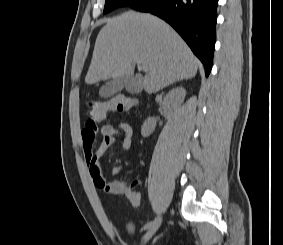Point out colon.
<instances>
[{
	"mask_svg": "<svg viewBox=\"0 0 283 245\" xmlns=\"http://www.w3.org/2000/svg\"><path fill=\"white\" fill-rule=\"evenodd\" d=\"M136 105V100L126 96H115L107 100H93L88 104V120L100 122L105 118L107 112L124 114ZM124 195L134 207L141 205V196L134 190L133 186L127 185Z\"/></svg>",
	"mask_w": 283,
	"mask_h": 245,
	"instance_id": "5ec220e1",
	"label": "colon"
}]
</instances>
